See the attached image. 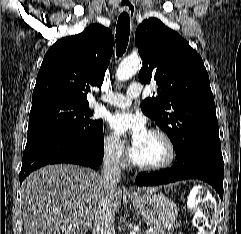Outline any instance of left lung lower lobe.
<instances>
[{
	"instance_id": "1",
	"label": "left lung lower lobe",
	"mask_w": 241,
	"mask_h": 234,
	"mask_svg": "<svg viewBox=\"0 0 241 234\" xmlns=\"http://www.w3.org/2000/svg\"><path fill=\"white\" fill-rule=\"evenodd\" d=\"M224 162L221 145L199 143L177 155V163L168 170L138 174L137 185H161L184 179H199L212 185L223 199Z\"/></svg>"
}]
</instances>
